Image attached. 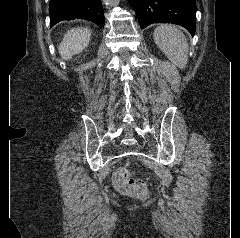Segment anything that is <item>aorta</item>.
I'll list each match as a JSON object with an SVG mask.
<instances>
[{
  "label": "aorta",
  "mask_w": 240,
  "mask_h": 238,
  "mask_svg": "<svg viewBox=\"0 0 240 238\" xmlns=\"http://www.w3.org/2000/svg\"><path fill=\"white\" fill-rule=\"evenodd\" d=\"M107 1L110 2L113 5H117L120 0H107Z\"/></svg>",
  "instance_id": "aorta-1"
}]
</instances>
